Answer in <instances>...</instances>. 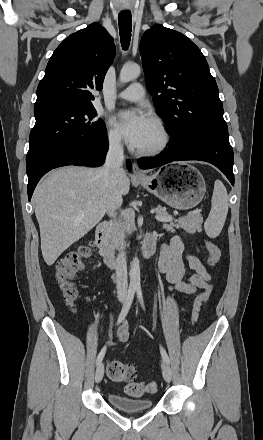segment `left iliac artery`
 Returning <instances> with one entry per match:
<instances>
[{"label": "left iliac artery", "instance_id": "1", "mask_svg": "<svg viewBox=\"0 0 263 440\" xmlns=\"http://www.w3.org/2000/svg\"><path fill=\"white\" fill-rule=\"evenodd\" d=\"M137 296H138V299H139V301L141 303V306H142L143 310L145 311V305H144V301H143L142 291H141L140 288H137ZM160 352H161V356H162L163 360L166 363H169L168 355H167L166 351L163 349L162 346H160Z\"/></svg>", "mask_w": 263, "mask_h": 440}]
</instances>
